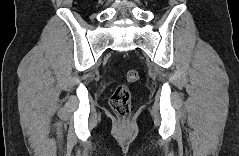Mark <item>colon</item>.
Listing matches in <instances>:
<instances>
[{"label": "colon", "instance_id": "colon-1", "mask_svg": "<svg viewBox=\"0 0 239 156\" xmlns=\"http://www.w3.org/2000/svg\"><path fill=\"white\" fill-rule=\"evenodd\" d=\"M127 82H136L139 79V74L136 70H128L125 73ZM112 110L120 117H126L131 109V93L126 85H119L113 91L110 98Z\"/></svg>", "mask_w": 239, "mask_h": 156}]
</instances>
